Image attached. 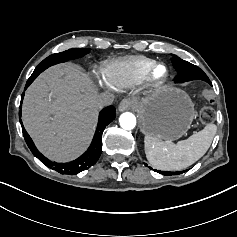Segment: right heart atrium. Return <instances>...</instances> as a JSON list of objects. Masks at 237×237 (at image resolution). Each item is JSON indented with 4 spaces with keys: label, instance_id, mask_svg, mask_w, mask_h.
<instances>
[{
    "label": "right heart atrium",
    "instance_id": "d8ad5b80",
    "mask_svg": "<svg viewBox=\"0 0 237 237\" xmlns=\"http://www.w3.org/2000/svg\"><path fill=\"white\" fill-rule=\"evenodd\" d=\"M95 80L96 82L101 86V87H104L106 89H110L111 88V85L110 83L104 79L103 77H101L100 75H96L95 76Z\"/></svg>",
    "mask_w": 237,
    "mask_h": 237
}]
</instances>
